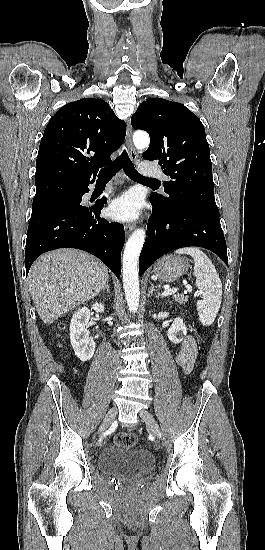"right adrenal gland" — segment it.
Returning a JSON list of instances; mask_svg holds the SVG:
<instances>
[{"label":"right adrenal gland","mask_w":265,"mask_h":550,"mask_svg":"<svg viewBox=\"0 0 265 550\" xmlns=\"http://www.w3.org/2000/svg\"><path fill=\"white\" fill-rule=\"evenodd\" d=\"M107 291V292H110V287H109V284L106 283L105 287L102 289V291Z\"/></svg>","instance_id":"1"}]
</instances>
